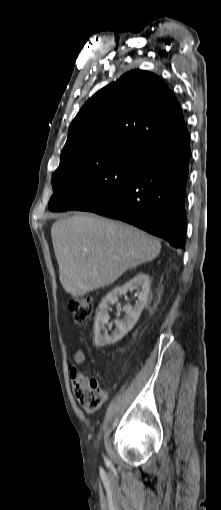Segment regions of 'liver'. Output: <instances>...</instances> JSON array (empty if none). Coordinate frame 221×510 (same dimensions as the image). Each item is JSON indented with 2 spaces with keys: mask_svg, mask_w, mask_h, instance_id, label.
<instances>
[{
  "mask_svg": "<svg viewBox=\"0 0 221 510\" xmlns=\"http://www.w3.org/2000/svg\"><path fill=\"white\" fill-rule=\"evenodd\" d=\"M59 280L73 297L108 286L128 269L155 259L161 244L122 222L91 215L57 220L51 228Z\"/></svg>",
  "mask_w": 221,
  "mask_h": 510,
  "instance_id": "6515ba94",
  "label": "liver"
}]
</instances>
